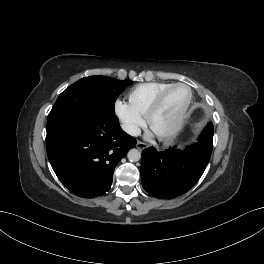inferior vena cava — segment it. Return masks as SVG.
<instances>
[{"label":"inferior vena cava","instance_id":"inferior-vena-cava-1","mask_svg":"<svg viewBox=\"0 0 264 264\" xmlns=\"http://www.w3.org/2000/svg\"><path fill=\"white\" fill-rule=\"evenodd\" d=\"M122 129L131 136H138L141 133V130L138 126L130 123H123L121 125Z\"/></svg>","mask_w":264,"mask_h":264}]
</instances>
